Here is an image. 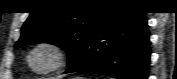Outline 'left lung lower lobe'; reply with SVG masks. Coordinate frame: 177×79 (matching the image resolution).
I'll return each mask as SVG.
<instances>
[{
  "mask_svg": "<svg viewBox=\"0 0 177 79\" xmlns=\"http://www.w3.org/2000/svg\"><path fill=\"white\" fill-rule=\"evenodd\" d=\"M149 59V33L144 13L113 7L105 10L80 55L65 73L147 79Z\"/></svg>",
  "mask_w": 177,
  "mask_h": 79,
  "instance_id": "1",
  "label": "left lung lower lobe"
}]
</instances>
